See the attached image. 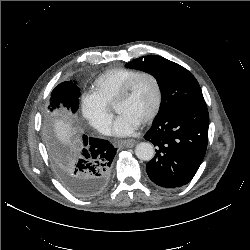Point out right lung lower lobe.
Returning <instances> with one entry per match:
<instances>
[{"label": "right lung lower lobe", "mask_w": 250, "mask_h": 250, "mask_svg": "<svg viewBox=\"0 0 250 250\" xmlns=\"http://www.w3.org/2000/svg\"><path fill=\"white\" fill-rule=\"evenodd\" d=\"M83 145L78 158L60 163L59 174L73 194L90 198L107 185L117 149L107 140L86 135L83 136Z\"/></svg>", "instance_id": "98d812e1"}]
</instances>
